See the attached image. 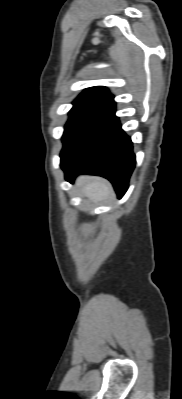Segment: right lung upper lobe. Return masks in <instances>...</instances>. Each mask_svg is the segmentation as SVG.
Wrapping results in <instances>:
<instances>
[{
  "mask_svg": "<svg viewBox=\"0 0 182 399\" xmlns=\"http://www.w3.org/2000/svg\"><path fill=\"white\" fill-rule=\"evenodd\" d=\"M79 97L100 101L106 105L112 103L114 98V96L109 93L108 89L103 86L87 88Z\"/></svg>",
  "mask_w": 182,
  "mask_h": 399,
  "instance_id": "1",
  "label": "right lung upper lobe"
}]
</instances>
